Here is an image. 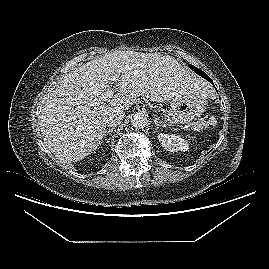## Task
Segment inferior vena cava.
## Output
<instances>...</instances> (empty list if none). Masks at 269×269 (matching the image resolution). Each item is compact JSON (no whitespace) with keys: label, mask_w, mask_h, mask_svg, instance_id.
Instances as JSON below:
<instances>
[{"label":"inferior vena cava","mask_w":269,"mask_h":269,"mask_svg":"<svg viewBox=\"0 0 269 269\" xmlns=\"http://www.w3.org/2000/svg\"><path fill=\"white\" fill-rule=\"evenodd\" d=\"M124 117V111L121 109H115L108 113L105 118V123L107 126L113 128L121 123V120Z\"/></svg>","instance_id":"1"}]
</instances>
